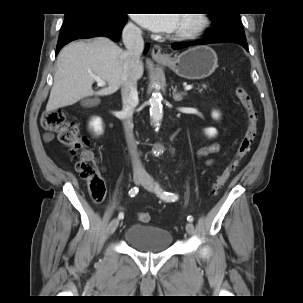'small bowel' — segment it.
I'll return each instance as SVG.
<instances>
[{
    "label": "small bowel",
    "mask_w": 303,
    "mask_h": 303,
    "mask_svg": "<svg viewBox=\"0 0 303 303\" xmlns=\"http://www.w3.org/2000/svg\"><path fill=\"white\" fill-rule=\"evenodd\" d=\"M44 137L47 141L51 140L53 138L52 132H45ZM221 145L219 143H212L210 145L204 146L198 150V155L200 157H205L210 154L216 153L220 150ZM214 162L213 159H207L206 164L211 165Z\"/></svg>",
    "instance_id": "1"
}]
</instances>
